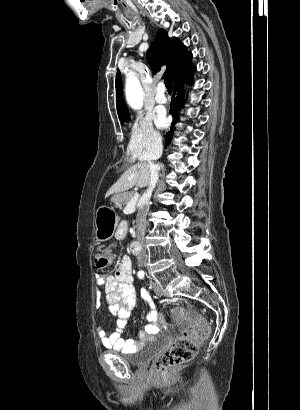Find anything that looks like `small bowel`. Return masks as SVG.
<instances>
[{"mask_svg":"<svg viewBox=\"0 0 300 410\" xmlns=\"http://www.w3.org/2000/svg\"><path fill=\"white\" fill-rule=\"evenodd\" d=\"M97 294H106L109 312L117 317L115 330L108 333L103 326H98L97 334L104 347L124 353L138 350L146 341L152 340L166 328L164 317L155 309L152 297L146 290L141 297L148 302L150 311L147 315L145 329L138 332L136 339L123 337L128 318L137 301V293L133 285L132 263L128 256L121 258L119 267L113 274H97Z\"/></svg>","mask_w":300,"mask_h":410,"instance_id":"1","label":"small bowel"}]
</instances>
